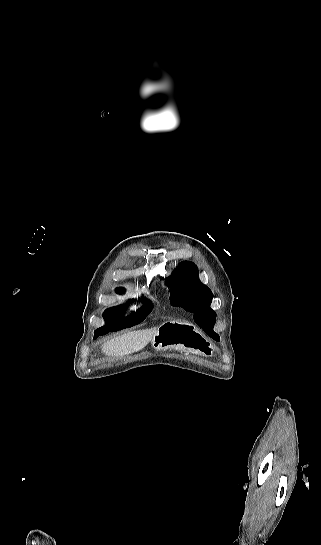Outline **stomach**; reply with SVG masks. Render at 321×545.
I'll return each instance as SVG.
<instances>
[{"mask_svg": "<svg viewBox=\"0 0 321 545\" xmlns=\"http://www.w3.org/2000/svg\"><path fill=\"white\" fill-rule=\"evenodd\" d=\"M209 343L203 333L192 325V323H181V321H167L159 327L153 337L152 349L155 351H167L176 349L191 355H208Z\"/></svg>", "mask_w": 321, "mask_h": 545, "instance_id": "obj_1", "label": "stomach"}]
</instances>
